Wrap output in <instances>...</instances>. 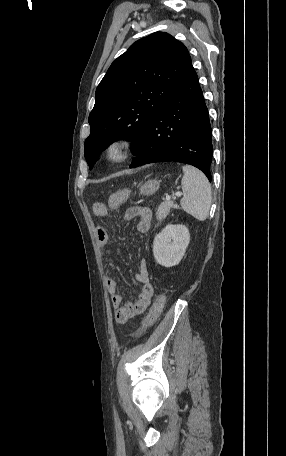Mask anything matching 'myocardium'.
Segmentation results:
<instances>
[{
	"label": "myocardium",
	"instance_id": "1",
	"mask_svg": "<svg viewBox=\"0 0 286 456\" xmlns=\"http://www.w3.org/2000/svg\"><path fill=\"white\" fill-rule=\"evenodd\" d=\"M135 149V140L128 135H119L108 141L104 157L111 164H122L127 161Z\"/></svg>",
	"mask_w": 286,
	"mask_h": 456
}]
</instances>
